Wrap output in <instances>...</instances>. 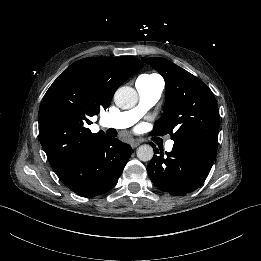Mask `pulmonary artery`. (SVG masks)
<instances>
[{
    "label": "pulmonary artery",
    "mask_w": 261,
    "mask_h": 261,
    "mask_svg": "<svg viewBox=\"0 0 261 261\" xmlns=\"http://www.w3.org/2000/svg\"><path fill=\"white\" fill-rule=\"evenodd\" d=\"M136 89L139 95V104L128 111L107 115L102 121L104 127L126 129L133 125L159 101L164 90V82L138 83ZM163 147L168 151L173 150L174 141L171 139L164 140Z\"/></svg>",
    "instance_id": "obj_1"
}]
</instances>
